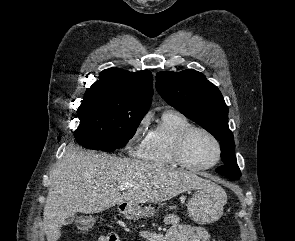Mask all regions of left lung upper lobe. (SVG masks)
Here are the masks:
<instances>
[{
  "mask_svg": "<svg viewBox=\"0 0 295 241\" xmlns=\"http://www.w3.org/2000/svg\"><path fill=\"white\" fill-rule=\"evenodd\" d=\"M156 89L168 104L221 142L224 165L217 168L216 172L238 179L241 172L234 153L233 134L228 127V107L219 89L194 69L157 73Z\"/></svg>",
  "mask_w": 295,
  "mask_h": 241,
  "instance_id": "1",
  "label": "left lung upper lobe"
}]
</instances>
